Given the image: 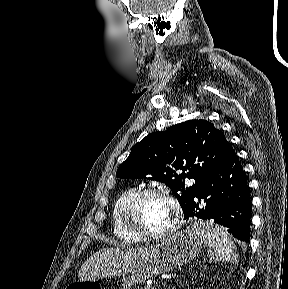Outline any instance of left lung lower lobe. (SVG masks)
Segmentation results:
<instances>
[{
  "instance_id": "0a47b994",
  "label": "left lung lower lobe",
  "mask_w": 288,
  "mask_h": 289,
  "mask_svg": "<svg viewBox=\"0 0 288 289\" xmlns=\"http://www.w3.org/2000/svg\"><path fill=\"white\" fill-rule=\"evenodd\" d=\"M249 187L242 165L229 146L223 160L209 174L183 210L184 218L197 217L223 225L237 239L247 242L251 225Z\"/></svg>"
}]
</instances>
